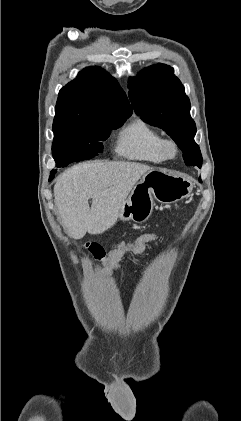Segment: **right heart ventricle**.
<instances>
[{
    "label": "right heart ventricle",
    "mask_w": 241,
    "mask_h": 421,
    "mask_svg": "<svg viewBox=\"0 0 241 421\" xmlns=\"http://www.w3.org/2000/svg\"><path fill=\"white\" fill-rule=\"evenodd\" d=\"M162 139L154 127L136 118L119 133L116 149L129 159L161 163L166 159L161 151Z\"/></svg>",
    "instance_id": "e07e8e85"
}]
</instances>
